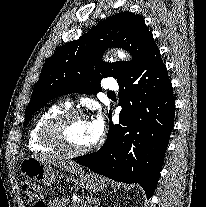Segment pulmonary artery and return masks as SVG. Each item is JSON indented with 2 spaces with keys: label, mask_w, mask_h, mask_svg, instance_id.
<instances>
[{
  "label": "pulmonary artery",
  "mask_w": 206,
  "mask_h": 207,
  "mask_svg": "<svg viewBox=\"0 0 206 207\" xmlns=\"http://www.w3.org/2000/svg\"><path fill=\"white\" fill-rule=\"evenodd\" d=\"M105 87L110 89V90H116L117 89V84L113 81H110L109 83L106 84ZM70 104H71V101L67 102V105H70Z\"/></svg>",
  "instance_id": "1"
}]
</instances>
